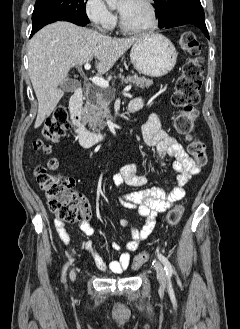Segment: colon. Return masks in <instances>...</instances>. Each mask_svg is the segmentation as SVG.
<instances>
[{
  "instance_id": "1",
  "label": "colon",
  "mask_w": 240,
  "mask_h": 329,
  "mask_svg": "<svg viewBox=\"0 0 240 329\" xmlns=\"http://www.w3.org/2000/svg\"><path fill=\"white\" fill-rule=\"evenodd\" d=\"M180 47L189 59L183 66L182 74L177 80L175 92L172 97L174 105L182 110L176 118V129L184 135L188 143V152L196 164H206L207 156L204 143L195 135V122L197 111L195 105L199 101V91L203 83V69L198 54L201 44L191 32H185L180 38ZM69 128L68 108L65 101L60 102L48 117L43 130L42 138L36 141V148L47 150L49 142H54L65 135ZM52 169L57 167L55 160H50ZM36 179L40 188L45 193L50 211L57 220L63 223L75 222L79 217L81 197L74 189V180L61 174L48 173L44 168L36 171ZM183 215V207H173L166 216L168 225H176ZM147 253H141L132 261V268H140L147 260Z\"/></svg>"
}]
</instances>
